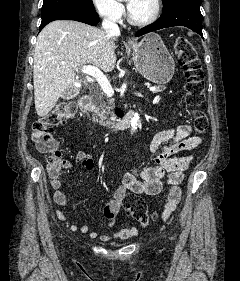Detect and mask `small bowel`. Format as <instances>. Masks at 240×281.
<instances>
[{"label":"small bowel","instance_id":"small-bowel-1","mask_svg":"<svg viewBox=\"0 0 240 281\" xmlns=\"http://www.w3.org/2000/svg\"><path fill=\"white\" fill-rule=\"evenodd\" d=\"M202 139L192 135V127L188 124L179 125L173 128L164 129L158 132L150 143V151L154 154V164L152 166L139 169L132 168L124 173L121 184L116 188L113 198L107 202L103 208V215L111 227L117 221V216L122 207L124 198L128 192L155 196L162 192L163 188L170 184L167 203L164 207L162 218L168 219L175 211L181 199L180 184L184 178V171L189 167L192 156H179L181 152L191 151L200 146ZM75 162L86 170H93L95 162L92 156L84 151H79L75 155ZM71 167L69 161L62 159L60 169L68 170ZM50 184L55 190L53 198L57 205L67 206V198L60 190L62 178L60 171L57 174L50 173ZM60 220L65 221L66 216L56 211ZM70 230L88 233L87 225H71ZM138 230L135 227L124 228L113 234L115 239H127L137 236ZM91 238L99 237L106 241L110 237L107 235L99 236L96 232L89 233Z\"/></svg>","mask_w":240,"mask_h":281}]
</instances>
